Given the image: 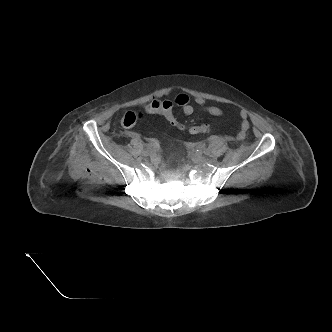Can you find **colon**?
Listing matches in <instances>:
<instances>
[{"label":"colon","instance_id":"5ec220e1","mask_svg":"<svg viewBox=\"0 0 332 332\" xmlns=\"http://www.w3.org/2000/svg\"><path fill=\"white\" fill-rule=\"evenodd\" d=\"M145 111L149 114L161 115L174 128L189 132L192 135H198L210 131V126L206 123L188 125L183 122L174 112V106L168 100H153L145 106ZM141 116V112L127 111L123 115L121 122L125 127H132L141 118Z\"/></svg>","mask_w":332,"mask_h":332}]
</instances>
